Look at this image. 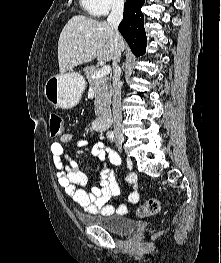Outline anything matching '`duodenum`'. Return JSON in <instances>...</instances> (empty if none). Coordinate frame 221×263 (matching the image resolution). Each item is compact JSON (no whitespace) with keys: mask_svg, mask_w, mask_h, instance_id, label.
Segmentation results:
<instances>
[{"mask_svg":"<svg viewBox=\"0 0 221 263\" xmlns=\"http://www.w3.org/2000/svg\"><path fill=\"white\" fill-rule=\"evenodd\" d=\"M111 121H112L111 113L110 111H107L94 121L93 123L94 129L97 132H104L111 124Z\"/></svg>","mask_w":221,"mask_h":263,"instance_id":"1","label":"duodenum"}]
</instances>
